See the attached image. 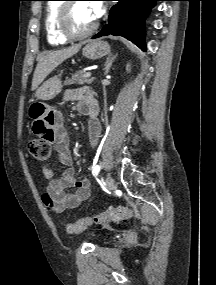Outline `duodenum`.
<instances>
[{"instance_id": "duodenum-1", "label": "duodenum", "mask_w": 216, "mask_h": 285, "mask_svg": "<svg viewBox=\"0 0 216 285\" xmlns=\"http://www.w3.org/2000/svg\"><path fill=\"white\" fill-rule=\"evenodd\" d=\"M88 114H89V116L94 117L95 114H96V108L95 107H90L89 110H88Z\"/></svg>"}]
</instances>
